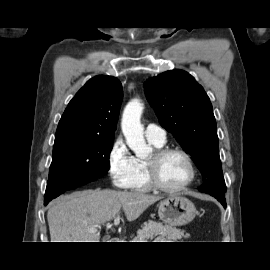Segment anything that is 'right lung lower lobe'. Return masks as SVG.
<instances>
[{
	"label": "right lung lower lobe",
	"instance_id": "1",
	"mask_svg": "<svg viewBox=\"0 0 270 270\" xmlns=\"http://www.w3.org/2000/svg\"><path fill=\"white\" fill-rule=\"evenodd\" d=\"M44 198H45L44 205H47L52 199H54V197H44Z\"/></svg>",
	"mask_w": 270,
	"mask_h": 270
}]
</instances>
